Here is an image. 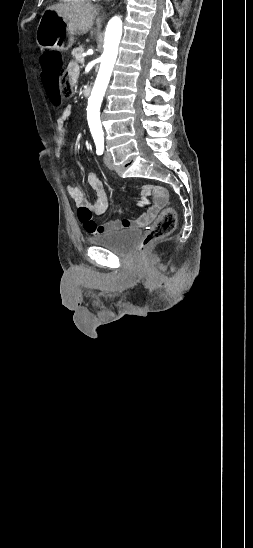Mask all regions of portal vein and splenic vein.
<instances>
[{"mask_svg":"<svg viewBox=\"0 0 253 548\" xmlns=\"http://www.w3.org/2000/svg\"><path fill=\"white\" fill-rule=\"evenodd\" d=\"M79 62H80V63H84V58H83V57L80 58Z\"/></svg>","mask_w":253,"mask_h":548,"instance_id":"obj_1","label":"portal vein and splenic vein"}]
</instances>
